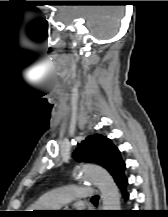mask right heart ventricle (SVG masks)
I'll return each instance as SVG.
<instances>
[{"label": "right heart ventricle", "instance_id": "obj_1", "mask_svg": "<svg viewBox=\"0 0 168 217\" xmlns=\"http://www.w3.org/2000/svg\"><path fill=\"white\" fill-rule=\"evenodd\" d=\"M49 207L45 205L40 199L34 202L32 205L29 206L28 210L30 213L40 212L47 210Z\"/></svg>", "mask_w": 168, "mask_h": 217}]
</instances>
